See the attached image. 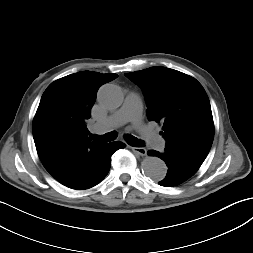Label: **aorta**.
Here are the masks:
<instances>
[{
  "label": "aorta",
  "mask_w": 253,
  "mask_h": 253,
  "mask_svg": "<svg viewBox=\"0 0 253 253\" xmlns=\"http://www.w3.org/2000/svg\"><path fill=\"white\" fill-rule=\"evenodd\" d=\"M97 99L104 109L114 110L122 105L124 97L118 86L105 84L99 89ZM141 168L144 175L153 181L163 180L167 173L165 162L156 156L146 157L141 163Z\"/></svg>",
  "instance_id": "762f6f07"
}]
</instances>
